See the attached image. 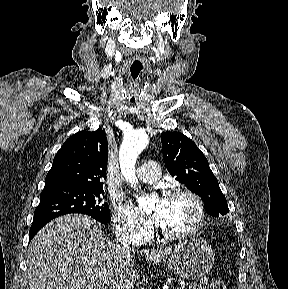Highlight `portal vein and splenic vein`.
<instances>
[{
  "instance_id": "portal-vein-and-splenic-vein-1",
  "label": "portal vein and splenic vein",
  "mask_w": 288,
  "mask_h": 289,
  "mask_svg": "<svg viewBox=\"0 0 288 289\" xmlns=\"http://www.w3.org/2000/svg\"><path fill=\"white\" fill-rule=\"evenodd\" d=\"M177 289H184V286H179Z\"/></svg>"
}]
</instances>
